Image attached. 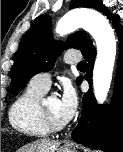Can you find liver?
<instances>
[{"instance_id":"liver-1","label":"liver","mask_w":123,"mask_h":152,"mask_svg":"<svg viewBox=\"0 0 123 152\" xmlns=\"http://www.w3.org/2000/svg\"><path fill=\"white\" fill-rule=\"evenodd\" d=\"M59 145L60 142L58 141L41 139L24 146L18 152H55Z\"/></svg>"}]
</instances>
